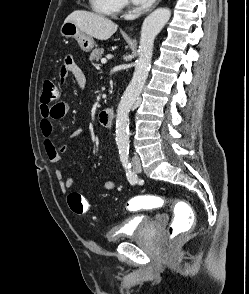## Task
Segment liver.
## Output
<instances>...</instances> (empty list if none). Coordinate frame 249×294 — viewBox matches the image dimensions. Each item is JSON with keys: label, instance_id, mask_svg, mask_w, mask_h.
Instances as JSON below:
<instances>
[{"label": "liver", "instance_id": "6515ba94", "mask_svg": "<svg viewBox=\"0 0 249 294\" xmlns=\"http://www.w3.org/2000/svg\"><path fill=\"white\" fill-rule=\"evenodd\" d=\"M65 21L75 23L82 32L98 40L109 39L118 28L110 19L84 10L72 12Z\"/></svg>", "mask_w": 249, "mask_h": 294}]
</instances>
